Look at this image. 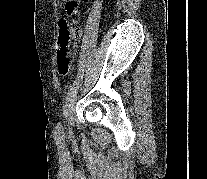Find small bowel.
<instances>
[{
  "label": "small bowel",
  "mask_w": 207,
  "mask_h": 179,
  "mask_svg": "<svg viewBox=\"0 0 207 179\" xmlns=\"http://www.w3.org/2000/svg\"><path fill=\"white\" fill-rule=\"evenodd\" d=\"M68 14H71V13H68ZM63 21H65V20H60L59 25H60Z\"/></svg>",
  "instance_id": "small-bowel-1"
}]
</instances>
